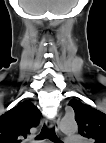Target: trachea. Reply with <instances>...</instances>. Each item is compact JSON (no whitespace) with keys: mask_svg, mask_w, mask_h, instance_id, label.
Masks as SVG:
<instances>
[{"mask_svg":"<svg viewBox=\"0 0 106 143\" xmlns=\"http://www.w3.org/2000/svg\"><path fill=\"white\" fill-rule=\"evenodd\" d=\"M44 138H48L53 142L59 143V139L57 138L56 134H55V129H48L46 128V126L44 125L40 135L38 136V139H44Z\"/></svg>","mask_w":106,"mask_h":143,"instance_id":"1","label":"trachea"}]
</instances>
